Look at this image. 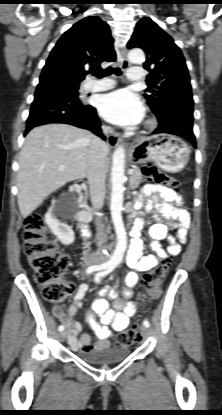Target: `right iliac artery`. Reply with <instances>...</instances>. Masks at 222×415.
Wrapping results in <instances>:
<instances>
[{"mask_svg": "<svg viewBox=\"0 0 222 415\" xmlns=\"http://www.w3.org/2000/svg\"><path fill=\"white\" fill-rule=\"evenodd\" d=\"M107 267V265H99V266H97V265H94V266H90V267H88L87 268V270H86V273L87 274H90V273H92V272H94V271H99V270H103V269H105ZM58 330L59 331H63L64 330V326L63 325H60L59 327H58Z\"/></svg>", "mask_w": 222, "mask_h": 415, "instance_id": "right-iliac-artery-1", "label": "right iliac artery"}]
</instances>
